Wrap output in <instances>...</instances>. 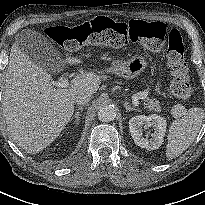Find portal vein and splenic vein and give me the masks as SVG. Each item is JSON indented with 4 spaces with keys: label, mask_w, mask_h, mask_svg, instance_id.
<instances>
[{
    "label": "portal vein and splenic vein",
    "mask_w": 205,
    "mask_h": 205,
    "mask_svg": "<svg viewBox=\"0 0 205 205\" xmlns=\"http://www.w3.org/2000/svg\"><path fill=\"white\" fill-rule=\"evenodd\" d=\"M52 84H53L54 86L62 87V88H66V87L69 86V82H68L67 77H61L58 81H53ZM132 103H133L136 107L139 106V101H138V97H137V96H134V97H133Z\"/></svg>",
    "instance_id": "obj_1"
}]
</instances>
